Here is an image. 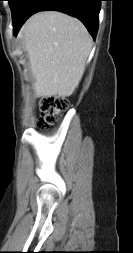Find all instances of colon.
Wrapping results in <instances>:
<instances>
[{"label": "colon", "mask_w": 133, "mask_h": 253, "mask_svg": "<svg viewBox=\"0 0 133 253\" xmlns=\"http://www.w3.org/2000/svg\"><path fill=\"white\" fill-rule=\"evenodd\" d=\"M68 103L58 96H44L40 99L41 117L38 125L47 128L59 121L61 114L67 109Z\"/></svg>", "instance_id": "obj_1"}]
</instances>
